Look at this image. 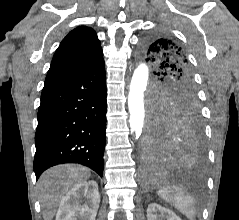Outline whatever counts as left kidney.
<instances>
[{"label":"left kidney","instance_id":"1","mask_svg":"<svg viewBox=\"0 0 239 220\" xmlns=\"http://www.w3.org/2000/svg\"><path fill=\"white\" fill-rule=\"evenodd\" d=\"M147 220H182L173 211L151 203L147 208Z\"/></svg>","mask_w":239,"mask_h":220}]
</instances>
